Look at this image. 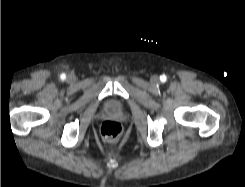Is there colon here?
<instances>
[{"label":"colon","instance_id":"colon-1","mask_svg":"<svg viewBox=\"0 0 245 187\" xmlns=\"http://www.w3.org/2000/svg\"><path fill=\"white\" fill-rule=\"evenodd\" d=\"M100 133L103 140L107 142L115 141L122 133V126L119 122L108 120L102 123Z\"/></svg>","mask_w":245,"mask_h":187}]
</instances>
